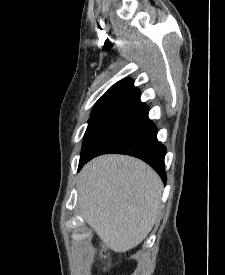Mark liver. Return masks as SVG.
<instances>
[{"instance_id": "liver-1", "label": "liver", "mask_w": 225, "mask_h": 275, "mask_svg": "<svg viewBox=\"0 0 225 275\" xmlns=\"http://www.w3.org/2000/svg\"><path fill=\"white\" fill-rule=\"evenodd\" d=\"M78 203L86 223L113 251L139 245L158 220L163 184L145 162L125 155H102L82 169Z\"/></svg>"}]
</instances>
